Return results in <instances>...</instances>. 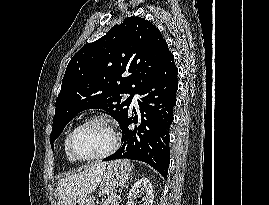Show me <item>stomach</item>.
<instances>
[{
	"label": "stomach",
	"instance_id": "1",
	"mask_svg": "<svg viewBox=\"0 0 269 205\" xmlns=\"http://www.w3.org/2000/svg\"><path fill=\"white\" fill-rule=\"evenodd\" d=\"M133 166L129 160H116L107 165L103 174L99 191L102 195L112 194L113 191L125 184L132 175ZM71 205H95L91 198L82 197L74 200Z\"/></svg>",
	"mask_w": 269,
	"mask_h": 205
}]
</instances>
